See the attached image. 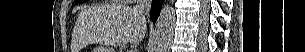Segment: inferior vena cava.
<instances>
[{
	"instance_id": "inferior-vena-cava-1",
	"label": "inferior vena cava",
	"mask_w": 305,
	"mask_h": 52,
	"mask_svg": "<svg viewBox=\"0 0 305 52\" xmlns=\"http://www.w3.org/2000/svg\"><path fill=\"white\" fill-rule=\"evenodd\" d=\"M151 3L152 0H137L136 9L140 12L144 19L146 15H149Z\"/></svg>"
}]
</instances>
